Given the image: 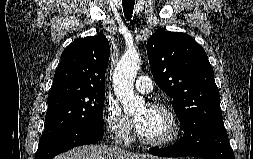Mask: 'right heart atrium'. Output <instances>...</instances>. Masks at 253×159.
Wrapping results in <instances>:
<instances>
[{"instance_id":"1","label":"right heart atrium","mask_w":253,"mask_h":159,"mask_svg":"<svg viewBox=\"0 0 253 159\" xmlns=\"http://www.w3.org/2000/svg\"><path fill=\"white\" fill-rule=\"evenodd\" d=\"M102 113L105 128L110 136L120 142H128L132 137L133 122L124 114L120 105L108 99Z\"/></svg>"}]
</instances>
